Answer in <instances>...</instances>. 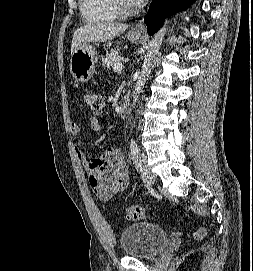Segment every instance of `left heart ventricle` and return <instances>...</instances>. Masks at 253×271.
Listing matches in <instances>:
<instances>
[{
    "instance_id": "b2bd125f",
    "label": "left heart ventricle",
    "mask_w": 253,
    "mask_h": 271,
    "mask_svg": "<svg viewBox=\"0 0 253 271\" xmlns=\"http://www.w3.org/2000/svg\"><path fill=\"white\" fill-rule=\"evenodd\" d=\"M127 1H128V3H129V5H132V6L137 5V4L134 2V0H127Z\"/></svg>"
}]
</instances>
